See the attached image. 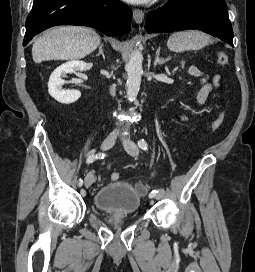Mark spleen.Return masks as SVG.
<instances>
[{
	"label": "spleen",
	"instance_id": "1",
	"mask_svg": "<svg viewBox=\"0 0 255 272\" xmlns=\"http://www.w3.org/2000/svg\"><path fill=\"white\" fill-rule=\"evenodd\" d=\"M209 42V36L200 31H181L172 34L167 46L176 52L199 50Z\"/></svg>",
	"mask_w": 255,
	"mask_h": 272
}]
</instances>
